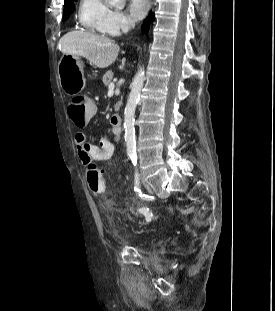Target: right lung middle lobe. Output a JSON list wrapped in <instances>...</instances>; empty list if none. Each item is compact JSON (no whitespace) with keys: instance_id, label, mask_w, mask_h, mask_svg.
<instances>
[{"instance_id":"obj_1","label":"right lung middle lobe","mask_w":275,"mask_h":311,"mask_svg":"<svg viewBox=\"0 0 275 311\" xmlns=\"http://www.w3.org/2000/svg\"><path fill=\"white\" fill-rule=\"evenodd\" d=\"M73 1L74 0H65L64 1V12H63V19L64 20H66L74 10Z\"/></svg>"}]
</instances>
